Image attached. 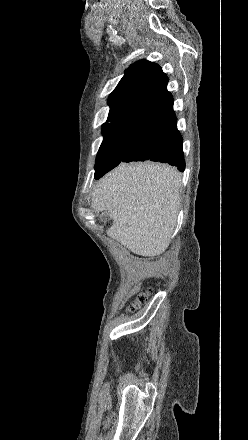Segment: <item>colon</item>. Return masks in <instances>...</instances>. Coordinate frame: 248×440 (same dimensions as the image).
<instances>
[{"instance_id":"obj_1","label":"colon","mask_w":248,"mask_h":440,"mask_svg":"<svg viewBox=\"0 0 248 440\" xmlns=\"http://www.w3.org/2000/svg\"><path fill=\"white\" fill-rule=\"evenodd\" d=\"M146 300H147V294L146 293H143V294L139 295L138 298L132 303V305L130 306L129 310L130 311L136 310L143 303H145Z\"/></svg>"}]
</instances>
